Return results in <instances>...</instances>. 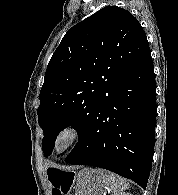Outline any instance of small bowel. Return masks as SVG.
Wrapping results in <instances>:
<instances>
[{"label":"small bowel","instance_id":"small-bowel-1","mask_svg":"<svg viewBox=\"0 0 178 195\" xmlns=\"http://www.w3.org/2000/svg\"><path fill=\"white\" fill-rule=\"evenodd\" d=\"M53 195H61L60 193H57V192H54V194Z\"/></svg>","mask_w":178,"mask_h":195}]
</instances>
